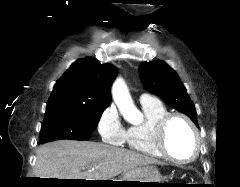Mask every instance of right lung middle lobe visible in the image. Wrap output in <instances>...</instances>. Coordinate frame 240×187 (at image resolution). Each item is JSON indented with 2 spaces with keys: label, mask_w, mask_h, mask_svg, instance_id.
I'll list each match as a JSON object with an SVG mask.
<instances>
[{
  "label": "right lung middle lobe",
  "mask_w": 240,
  "mask_h": 187,
  "mask_svg": "<svg viewBox=\"0 0 240 187\" xmlns=\"http://www.w3.org/2000/svg\"><path fill=\"white\" fill-rule=\"evenodd\" d=\"M104 108L58 105L46 108L39 143L71 139L88 140L96 128Z\"/></svg>",
  "instance_id": "right-lung-middle-lobe-1"
}]
</instances>
